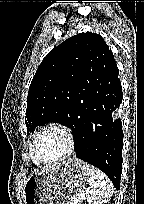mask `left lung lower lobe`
I'll list each match as a JSON object with an SVG mask.
<instances>
[{"label":"left lung lower lobe","mask_w":144,"mask_h":204,"mask_svg":"<svg viewBox=\"0 0 144 204\" xmlns=\"http://www.w3.org/2000/svg\"><path fill=\"white\" fill-rule=\"evenodd\" d=\"M116 62L97 68L85 104L82 127L74 135L77 158L99 168L120 189L122 171V122L115 113L122 102Z\"/></svg>","instance_id":"obj_1"}]
</instances>
